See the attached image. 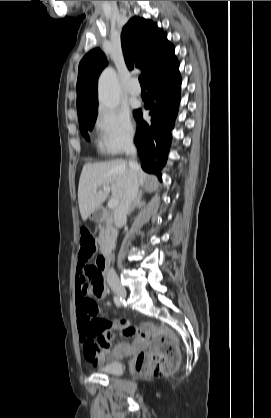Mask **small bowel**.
<instances>
[{
  "label": "small bowel",
  "instance_id": "obj_1",
  "mask_svg": "<svg viewBox=\"0 0 271 418\" xmlns=\"http://www.w3.org/2000/svg\"><path fill=\"white\" fill-rule=\"evenodd\" d=\"M106 292L102 267L93 262H79L76 265L75 302L80 343L85 359L96 366L108 359L122 358L146 341L144 328L133 326L126 318L107 320L105 314H101L98 299H103ZM114 330L121 331L125 337L135 336L133 344L117 342L112 345Z\"/></svg>",
  "mask_w": 271,
  "mask_h": 418
}]
</instances>
